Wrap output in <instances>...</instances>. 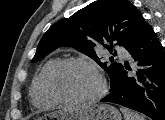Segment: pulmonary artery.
Segmentation results:
<instances>
[{
  "label": "pulmonary artery",
  "mask_w": 165,
  "mask_h": 120,
  "mask_svg": "<svg viewBox=\"0 0 165 120\" xmlns=\"http://www.w3.org/2000/svg\"><path fill=\"white\" fill-rule=\"evenodd\" d=\"M118 54L121 56V57H128V53L124 50V49H122V48H119L118 50Z\"/></svg>",
  "instance_id": "pulmonary-artery-1"
}]
</instances>
